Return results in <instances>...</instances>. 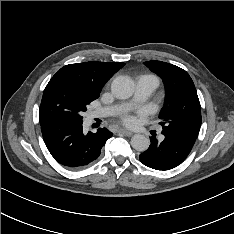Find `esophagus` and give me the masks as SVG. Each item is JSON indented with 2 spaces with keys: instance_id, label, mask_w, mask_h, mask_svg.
Returning a JSON list of instances; mask_svg holds the SVG:
<instances>
[{
  "instance_id": "1",
  "label": "esophagus",
  "mask_w": 234,
  "mask_h": 234,
  "mask_svg": "<svg viewBox=\"0 0 234 234\" xmlns=\"http://www.w3.org/2000/svg\"><path fill=\"white\" fill-rule=\"evenodd\" d=\"M118 132L121 133V134H123V135H125V136H131V135H133V132H131L129 130H126V129H120Z\"/></svg>"
}]
</instances>
